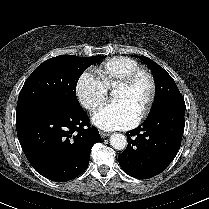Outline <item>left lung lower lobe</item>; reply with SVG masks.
<instances>
[{"label": "left lung lower lobe", "mask_w": 209, "mask_h": 209, "mask_svg": "<svg viewBox=\"0 0 209 209\" xmlns=\"http://www.w3.org/2000/svg\"><path fill=\"white\" fill-rule=\"evenodd\" d=\"M185 109V104L159 108L142 125L126 133L129 145L118 155L125 173L149 179L165 170L181 145Z\"/></svg>", "instance_id": "0a47b994"}]
</instances>
